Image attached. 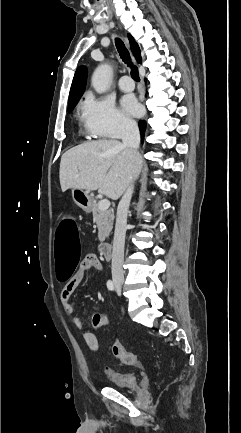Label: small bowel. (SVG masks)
<instances>
[{"label": "small bowel", "instance_id": "c3829d8e", "mask_svg": "<svg viewBox=\"0 0 241 433\" xmlns=\"http://www.w3.org/2000/svg\"><path fill=\"white\" fill-rule=\"evenodd\" d=\"M66 220H72V219H66ZM92 268H95L98 271L103 270V266L100 263V261L98 260L97 256L94 254H89L81 261V263L79 264L74 275L64 285V287L61 291L60 300H61V304L63 306V309L67 314H70V315L73 314L74 307L72 304V295L75 292V290L77 289V287L80 285V283L83 281L87 272ZM101 315H102V318L100 321L101 327L106 326L109 323V319L106 315H104V314H101ZM73 324L77 329L84 331L83 338H84V341H85L86 345L88 346V348L93 350V351L97 350L99 348L98 339L94 333L87 330L82 319H80L78 317H74L73 318Z\"/></svg>", "mask_w": 241, "mask_h": 433}]
</instances>
